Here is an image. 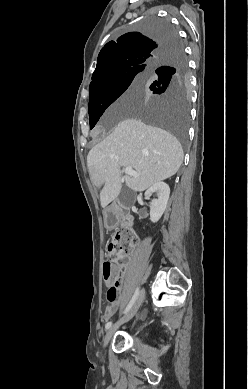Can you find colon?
Here are the masks:
<instances>
[{"label": "colon", "instance_id": "obj_1", "mask_svg": "<svg viewBox=\"0 0 248 389\" xmlns=\"http://www.w3.org/2000/svg\"><path fill=\"white\" fill-rule=\"evenodd\" d=\"M133 247V239L127 232L117 233L108 244L107 254L110 260L103 264L104 285L108 286L107 300L115 302L120 288L121 273L116 262L128 257Z\"/></svg>", "mask_w": 248, "mask_h": 389}]
</instances>
